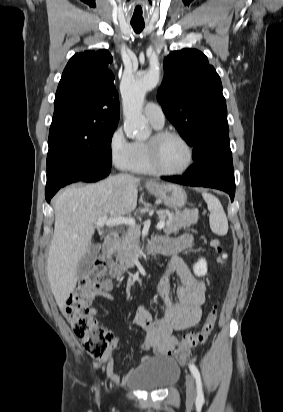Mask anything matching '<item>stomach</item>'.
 Masks as SVG:
<instances>
[{
  "instance_id": "1",
  "label": "stomach",
  "mask_w": 283,
  "mask_h": 412,
  "mask_svg": "<svg viewBox=\"0 0 283 412\" xmlns=\"http://www.w3.org/2000/svg\"><path fill=\"white\" fill-rule=\"evenodd\" d=\"M149 191L157 198L161 199L165 206L171 209H179L187 202L185 190L177 185L157 184L149 188Z\"/></svg>"
}]
</instances>
